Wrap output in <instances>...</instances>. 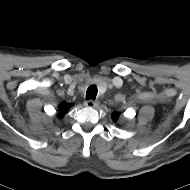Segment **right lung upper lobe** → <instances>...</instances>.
I'll return each instance as SVG.
<instances>
[{
	"label": "right lung upper lobe",
	"instance_id": "1",
	"mask_svg": "<svg viewBox=\"0 0 190 190\" xmlns=\"http://www.w3.org/2000/svg\"><path fill=\"white\" fill-rule=\"evenodd\" d=\"M69 108H70V104L65 103V102L61 103L59 105L58 116L59 117L64 116L65 112H67Z\"/></svg>",
	"mask_w": 190,
	"mask_h": 190
}]
</instances>
